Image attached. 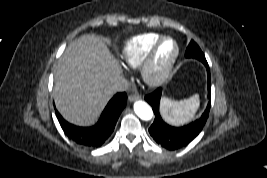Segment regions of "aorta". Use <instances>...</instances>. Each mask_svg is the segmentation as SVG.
I'll list each match as a JSON object with an SVG mask.
<instances>
[{"mask_svg":"<svg viewBox=\"0 0 267 178\" xmlns=\"http://www.w3.org/2000/svg\"><path fill=\"white\" fill-rule=\"evenodd\" d=\"M134 111L142 120L148 121L153 118L152 108L144 101H136L134 103Z\"/></svg>","mask_w":267,"mask_h":178,"instance_id":"aorta-1","label":"aorta"}]
</instances>
